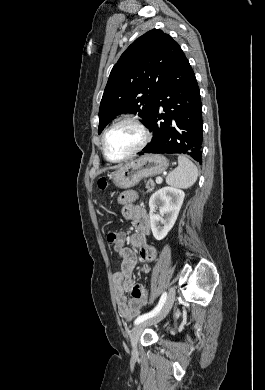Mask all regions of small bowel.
<instances>
[{"instance_id":"small-bowel-1","label":"small bowel","mask_w":265,"mask_h":390,"mask_svg":"<svg viewBox=\"0 0 265 390\" xmlns=\"http://www.w3.org/2000/svg\"><path fill=\"white\" fill-rule=\"evenodd\" d=\"M135 194L131 191L124 192L120 197L123 204V216L131 220L135 231L127 237L125 233L118 232V242L115 249L121 259V269L114 273L113 281L116 292V302L120 315L132 320L139 315L143 306L140 294L146 290L143 285L134 282L132 274L137 267V258L133 250L125 245L129 242L138 249L139 258L145 263L141 271L148 272L149 264L153 263L157 257L155 247L147 242V236L150 232V218L146 210L134 203ZM130 292V297H127Z\"/></svg>"}]
</instances>
